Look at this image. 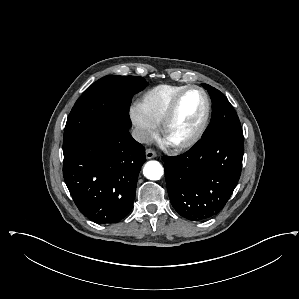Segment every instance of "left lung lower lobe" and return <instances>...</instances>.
Listing matches in <instances>:
<instances>
[{
    "mask_svg": "<svg viewBox=\"0 0 299 299\" xmlns=\"http://www.w3.org/2000/svg\"><path fill=\"white\" fill-rule=\"evenodd\" d=\"M243 135L219 133L202 138L186 153L164 156L165 178L174 209L192 221L217 214L238 183Z\"/></svg>",
    "mask_w": 299,
    "mask_h": 299,
    "instance_id": "1",
    "label": "left lung lower lobe"
}]
</instances>
